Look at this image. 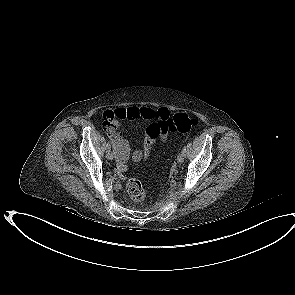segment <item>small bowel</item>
<instances>
[{
	"label": "small bowel",
	"instance_id": "c3829d8e",
	"mask_svg": "<svg viewBox=\"0 0 295 295\" xmlns=\"http://www.w3.org/2000/svg\"><path fill=\"white\" fill-rule=\"evenodd\" d=\"M169 116V112L165 108H159L157 110L144 107V106H133L125 109L106 110L102 115V120L105 123V130L111 138L114 149L117 153V169L119 174L126 172V161L129 157V145L128 142L121 136L118 129V122H128L136 119L143 120H156L162 121ZM154 137L150 136L146 132L144 139V147L142 150H135L132 153V159L135 162H140L144 158L150 156V151L155 143ZM162 140L167 139V133L161 135Z\"/></svg>",
	"mask_w": 295,
	"mask_h": 295
}]
</instances>
